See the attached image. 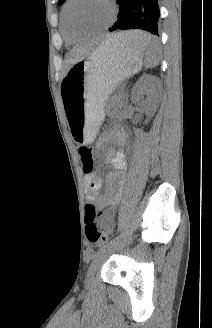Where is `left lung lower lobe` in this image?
<instances>
[{"mask_svg": "<svg viewBox=\"0 0 212 328\" xmlns=\"http://www.w3.org/2000/svg\"><path fill=\"white\" fill-rule=\"evenodd\" d=\"M119 3L118 20L109 31L120 29H143L157 35V23L160 17L158 0H117ZM151 37L148 46L157 44Z\"/></svg>", "mask_w": 212, "mask_h": 328, "instance_id": "left-lung-lower-lobe-1", "label": "left lung lower lobe"}]
</instances>
